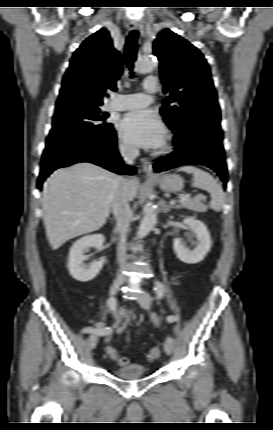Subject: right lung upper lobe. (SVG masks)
Wrapping results in <instances>:
<instances>
[{
  "label": "right lung upper lobe",
  "mask_w": 273,
  "mask_h": 430,
  "mask_svg": "<svg viewBox=\"0 0 273 430\" xmlns=\"http://www.w3.org/2000/svg\"><path fill=\"white\" fill-rule=\"evenodd\" d=\"M122 70V57L113 48L109 32L100 29L74 52L62 80L56 107L76 100L102 105L106 92L116 90Z\"/></svg>",
  "instance_id": "cb5924a9"
}]
</instances>
